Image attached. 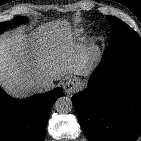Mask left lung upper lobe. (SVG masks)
<instances>
[{
    "label": "left lung upper lobe",
    "mask_w": 141,
    "mask_h": 141,
    "mask_svg": "<svg viewBox=\"0 0 141 141\" xmlns=\"http://www.w3.org/2000/svg\"><path fill=\"white\" fill-rule=\"evenodd\" d=\"M111 23L112 44L133 43L141 44L140 36L127 24L118 18L107 16Z\"/></svg>",
    "instance_id": "obj_1"
}]
</instances>
